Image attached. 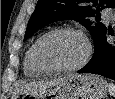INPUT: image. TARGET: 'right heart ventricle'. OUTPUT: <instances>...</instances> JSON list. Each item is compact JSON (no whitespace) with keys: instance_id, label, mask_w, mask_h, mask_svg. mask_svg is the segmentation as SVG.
<instances>
[{"instance_id":"1","label":"right heart ventricle","mask_w":115,"mask_h":99,"mask_svg":"<svg viewBox=\"0 0 115 99\" xmlns=\"http://www.w3.org/2000/svg\"><path fill=\"white\" fill-rule=\"evenodd\" d=\"M34 44L35 43H33L26 51L24 62H23L24 74L28 78H38L45 74L36 66L34 62V58H33Z\"/></svg>"}]
</instances>
